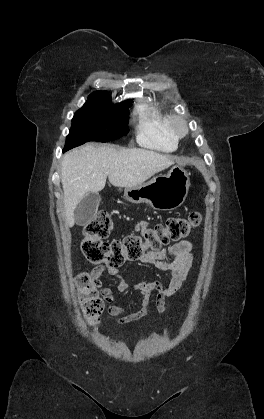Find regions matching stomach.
Wrapping results in <instances>:
<instances>
[{"label":"stomach","mask_w":264,"mask_h":419,"mask_svg":"<svg viewBox=\"0 0 264 419\" xmlns=\"http://www.w3.org/2000/svg\"><path fill=\"white\" fill-rule=\"evenodd\" d=\"M190 179L187 171L179 165L173 166L167 175L124 190L127 201L148 203L155 210L171 211L180 207L188 194Z\"/></svg>","instance_id":"1"}]
</instances>
